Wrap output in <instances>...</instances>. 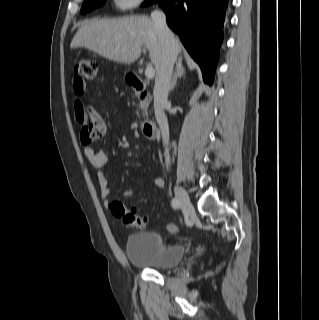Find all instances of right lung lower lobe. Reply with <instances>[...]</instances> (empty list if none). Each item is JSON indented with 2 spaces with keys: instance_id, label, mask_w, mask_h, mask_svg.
<instances>
[{
  "instance_id": "obj_1",
  "label": "right lung lower lobe",
  "mask_w": 319,
  "mask_h": 320,
  "mask_svg": "<svg viewBox=\"0 0 319 320\" xmlns=\"http://www.w3.org/2000/svg\"><path fill=\"white\" fill-rule=\"evenodd\" d=\"M166 13L168 26L200 65L203 78L212 83L228 0H155ZM151 3V4H153Z\"/></svg>"
}]
</instances>
